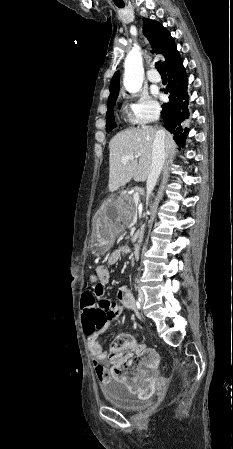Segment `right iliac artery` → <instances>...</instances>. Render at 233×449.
<instances>
[{
  "label": "right iliac artery",
  "mask_w": 233,
  "mask_h": 449,
  "mask_svg": "<svg viewBox=\"0 0 233 449\" xmlns=\"http://www.w3.org/2000/svg\"><path fill=\"white\" fill-rule=\"evenodd\" d=\"M139 301H140V299H139ZM139 301L138 300L136 301V307H137V309L140 310L141 309V305H140Z\"/></svg>",
  "instance_id": "82829eb1"
}]
</instances>
